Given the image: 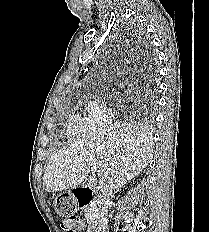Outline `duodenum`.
<instances>
[{"label":"duodenum","instance_id":"1","mask_svg":"<svg viewBox=\"0 0 209 232\" xmlns=\"http://www.w3.org/2000/svg\"><path fill=\"white\" fill-rule=\"evenodd\" d=\"M74 194L77 199L78 205L80 208L88 207L97 202L96 197L94 196L92 189L88 186H77L74 189ZM88 232H99V227L97 223H93Z\"/></svg>","mask_w":209,"mask_h":232}]
</instances>
